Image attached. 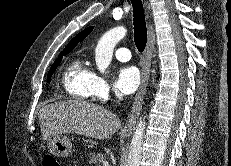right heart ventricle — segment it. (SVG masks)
<instances>
[{
    "label": "right heart ventricle",
    "instance_id": "e07e8e85",
    "mask_svg": "<svg viewBox=\"0 0 231 166\" xmlns=\"http://www.w3.org/2000/svg\"><path fill=\"white\" fill-rule=\"evenodd\" d=\"M94 73L83 57L74 58L65 68L62 84L65 92L73 99L87 101L92 97Z\"/></svg>",
    "mask_w": 231,
    "mask_h": 166
}]
</instances>
